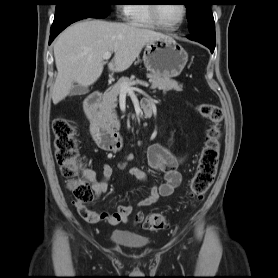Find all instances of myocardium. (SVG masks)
<instances>
[{"label":"myocardium","mask_w":278,"mask_h":278,"mask_svg":"<svg viewBox=\"0 0 278 278\" xmlns=\"http://www.w3.org/2000/svg\"><path fill=\"white\" fill-rule=\"evenodd\" d=\"M181 6H182V15H181V18L174 25H167V24L163 23L159 19L158 13H157V7L158 6L155 5V4H151L149 6L150 17H151L152 21L154 22V24L156 26H158V27H160L162 29H165V30H175V29L179 28L183 24V22H184V20H185V18L187 16V6L185 4H181Z\"/></svg>","instance_id":"myocardium-1"}]
</instances>
